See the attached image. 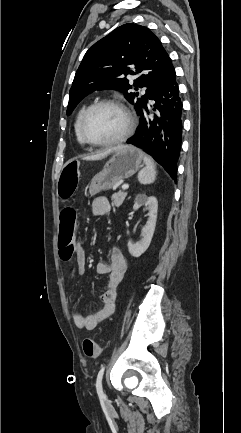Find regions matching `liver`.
I'll use <instances>...</instances> for the list:
<instances>
[{"mask_svg":"<svg viewBox=\"0 0 241 433\" xmlns=\"http://www.w3.org/2000/svg\"><path fill=\"white\" fill-rule=\"evenodd\" d=\"M123 147H124V146H120V147H117V148H115V149L108 150V151H106V152H104V153H100V154H98V155L88 156V157H85V159H86V160H97V159H101V158L107 156L109 153H111V152H113V151H117V150H119V149H121V148H123Z\"/></svg>","mask_w":241,"mask_h":433,"instance_id":"6515ba94","label":"liver"}]
</instances>
